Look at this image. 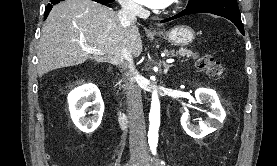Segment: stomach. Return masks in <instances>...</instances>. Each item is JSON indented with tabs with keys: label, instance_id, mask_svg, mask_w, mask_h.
<instances>
[{
	"label": "stomach",
	"instance_id": "stomach-1",
	"mask_svg": "<svg viewBox=\"0 0 277 166\" xmlns=\"http://www.w3.org/2000/svg\"><path fill=\"white\" fill-rule=\"evenodd\" d=\"M158 35H162L174 45L185 46L193 42L195 39V31L187 25H178L172 28L168 32H160Z\"/></svg>",
	"mask_w": 277,
	"mask_h": 166
}]
</instances>
